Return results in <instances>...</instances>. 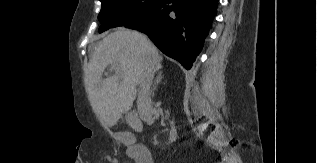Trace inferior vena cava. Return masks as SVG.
Segmentation results:
<instances>
[{
  "mask_svg": "<svg viewBox=\"0 0 317 163\" xmlns=\"http://www.w3.org/2000/svg\"><path fill=\"white\" fill-rule=\"evenodd\" d=\"M154 77V70L150 64H147L145 71L139 83L137 107L138 112L143 120H147L152 116L153 110L151 105V84Z\"/></svg>",
  "mask_w": 317,
  "mask_h": 163,
  "instance_id": "1",
  "label": "inferior vena cava"
}]
</instances>
